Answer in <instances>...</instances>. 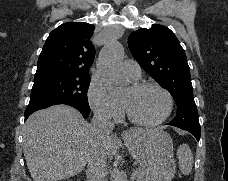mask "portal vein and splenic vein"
Instances as JSON below:
<instances>
[{
    "mask_svg": "<svg viewBox=\"0 0 228 181\" xmlns=\"http://www.w3.org/2000/svg\"><path fill=\"white\" fill-rule=\"evenodd\" d=\"M133 174L135 173H137L138 171H137V169L135 168V169H133L132 171H131Z\"/></svg>",
    "mask_w": 228,
    "mask_h": 181,
    "instance_id": "18ae733b",
    "label": "portal vein and splenic vein"
}]
</instances>
